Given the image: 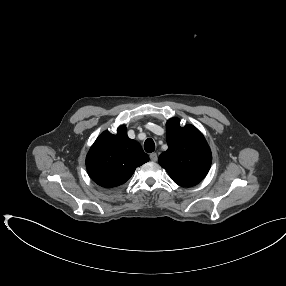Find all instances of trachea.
I'll use <instances>...</instances> for the list:
<instances>
[{
  "mask_svg": "<svg viewBox=\"0 0 286 286\" xmlns=\"http://www.w3.org/2000/svg\"><path fill=\"white\" fill-rule=\"evenodd\" d=\"M144 149L148 153H152L155 150V143L151 138L145 140Z\"/></svg>",
  "mask_w": 286,
  "mask_h": 286,
  "instance_id": "1",
  "label": "trachea"
}]
</instances>
